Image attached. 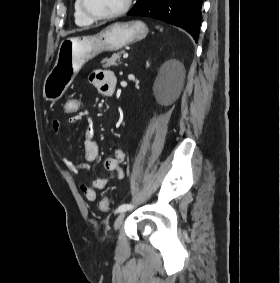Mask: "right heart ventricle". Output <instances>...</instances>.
<instances>
[{"label": "right heart ventricle", "mask_w": 280, "mask_h": 283, "mask_svg": "<svg viewBox=\"0 0 280 283\" xmlns=\"http://www.w3.org/2000/svg\"><path fill=\"white\" fill-rule=\"evenodd\" d=\"M74 21L79 26H87L90 25L93 21L87 18L81 7L79 0L74 1Z\"/></svg>", "instance_id": "obj_1"}]
</instances>
